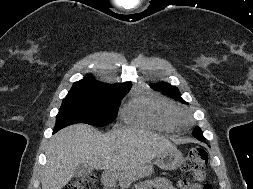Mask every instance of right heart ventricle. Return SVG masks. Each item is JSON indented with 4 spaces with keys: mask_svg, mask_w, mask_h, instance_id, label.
Returning <instances> with one entry per match:
<instances>
[{
    "mask_svg": "<svg viewBox=\"0 0 253 189\" xmlns=\"http://www.w3.org/2000/svg\"><path fill=\"white\" fill-rule=\"evenodd\" d=\"M177 107L165 100L138 94L123 108L125 123L132 127L174 133L179 131Z\"/></svg>",
    "mask_w": 253,
    "mask_h": 189,
    "instance_id": "1",
    "label": "right heart ventricle"
}]
</instances>
